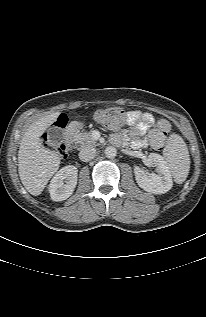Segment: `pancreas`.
Here are the masks:
<instances>
[{"label": "pancreas", "mask_w": 206, "mask_h": 317, "mask_svg": "<svg viewBox=\"0 0 206 317\" xmlns=\"http://www.w3.org/2000/svg\"><path fill=\"white\" fill-rule=\"evenodd\" d=\"M71 138L76 144H80L82 147L94 146L96 144L90 132H80L76 129H72Z\"/></svg>", "instance_id": "pancreas-1"}]
</instances>
